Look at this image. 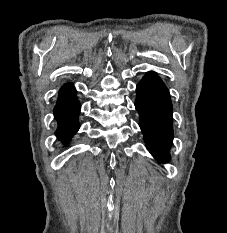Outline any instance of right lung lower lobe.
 Instances as JSON below:
<instances>
[{
  "instance_id": "right-lung-lower-lobe-1",
  "label": "right lung lower lobe",
  "mask_w": 227,
  "mask_h": 233,
  "mask_svg": "<svg viewBox=\"0 0 227 233\" xmlns=\"http://www.w3.org/2000/svg\"><path fill=\"white\" fill-rule=\"evenodd\" d=\"M80 112V103L76 98V90L71 83L64 85L59 91L57 104L54 108V116L58 122L57 137L65 144L77 132V121Z\"/></svg>"
}]
</instances>
